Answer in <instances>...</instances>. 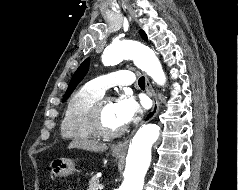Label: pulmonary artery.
Wrapping results in <instances>:
<instances>
[{
    "instance_id": "pulmonary-artery-1",
    "label": "pulmonary artery",
    "mask_w": 238,
    "mask_h": 190,
    "mask_svg": "<svg viewBox=\"0 0 238 190\" xmlns=\"http://www.w3.org/2000/svg\"><path fill=\"white\" fill-rule=\"evenodd\" d=\"M133 82L134 76L131 71L118 70L94 78L87 83V86L100 94H104L112 86L130 85Z\"/></svg>"
}]
</instances>
